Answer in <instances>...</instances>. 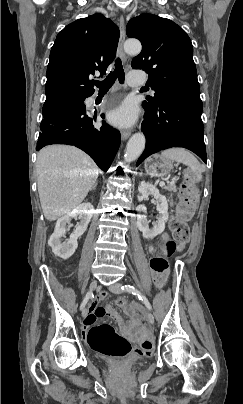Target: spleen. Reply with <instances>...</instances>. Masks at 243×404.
Listing matches in <instances>:
<instances>
[{"label":"spleen","mask_w":243,"mask_h":404,"mask_svg":"<svg viewBox=\"0 0 243 404\" xmlns=\"http://www.w3.org/2000/svg\"><path fill=\"white\" fill-rule=\"evenodd\" d=\"M162 158L167 160H174V162H181L184 166H189L192 172L196 174L197 180H201V166L193 154L187 152L185 148H171V150H164L161 154Z\"/></svg>","instance_id":"obj_1"}]
</instances>
